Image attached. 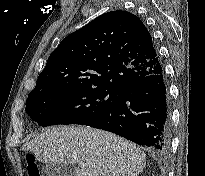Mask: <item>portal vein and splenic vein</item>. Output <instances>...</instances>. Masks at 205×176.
<instances>
[{"label":"portal vein and splenic vein","instance_id":"portal-vein-and-splenic-vein-1","mask_svg":"<svg viewBox=\"0 0 205 176\" xmlns=\"http://www.w3.org/2000/svg\"><path fill=\"white\" fill-rule=\"evenodd\" d=\"M79 166H80L81 168H84V167L86 166V164H85L84 162H80V163H79Z\"/></svg>","mask_w":205,"mask_h":176}]
</instances>
